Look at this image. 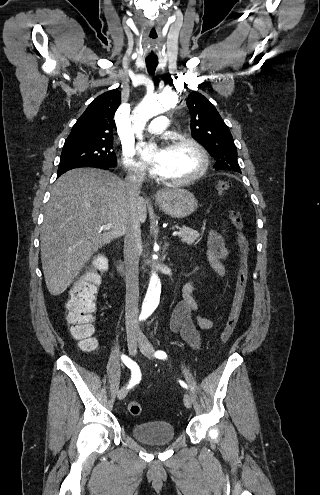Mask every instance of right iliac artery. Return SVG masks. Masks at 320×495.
Returning <instances> with one entry per match:
<instances>
[{
    "instance_id": "right-iliac-artery-1",
    "label": "right iliac artery",
    "mask_w": 320,
    "mask_h": 495,
    "mask_svg": "<svg viewBox=\"0 0 320 495\" xmlns=\"http://www.w3.org/2000/svg\"><path fill=\"white\" fill-rule=\"evenodd\" d=\"M122 361L131 370L132 378H131L129 385L127 387V388H131L140 379V369H139L138 365L136 364V362L133 361L131 358H129L126 355H122Z\"/></svg>"
}]
</instances>
